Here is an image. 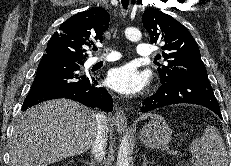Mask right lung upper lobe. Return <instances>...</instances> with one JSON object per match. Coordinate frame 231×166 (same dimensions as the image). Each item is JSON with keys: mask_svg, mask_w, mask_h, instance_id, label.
<instances>
[{"mask_svg": "<svg viewBox=\"0 0 231 166\" xmlns=\"http://www.w3.org/2000/svg\"><path fill=\"white\" fill-rule=\"evenodd\" d=\"M110 16L101 7L77 13L67 19L50 38L46 54L74 62L87 57L86 46L92 39L102 40V34L109 27Z\"/></svg>", "mask_w": 231, "mask_h": 166, "instance_id": "right-lung-upper-lobe-1", "label": "right lung upper lobe"}]
</instances>
